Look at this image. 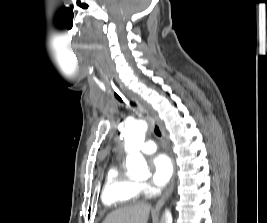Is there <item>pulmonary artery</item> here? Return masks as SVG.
<instances>
[{
    "mask_svg": "<svg viewBox=\"0 0 267 223\" xmlns=\"http://www.w3.org/2000/svg\"><path fill=\"white\" fill-rule=\"evenodd\" d=\"M157 149V144L153 140L146 141L141 147L140 151L143 153H152Z\"/></svg>",
    "mask_w": 267,
    "mask_h": 223,
    "instance_id": "pulmonary-artery-1",
    "label": "pulmonary artery"
}]
</instances>
